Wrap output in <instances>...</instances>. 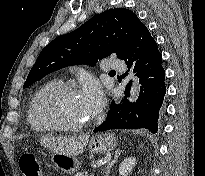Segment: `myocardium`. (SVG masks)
<instances>
[{
	"label": "myocardium",
	"instance_id": "myocardium-1",
	"mask_svg": "<svg viewBox=\"0 0 205 176\" xmlns=\"http://www.w3.org/2000/svg\"><path fill=\"white\" fill-rule=\"evenodd\" d=\"M70 92L76 93L77 88L75 85L67 82H60L54 83L47 89H45L36 99L34 105V117L35 120L42 126H45L49 129L59 130V131H66V132H77L91 124V117H89L86 121L78 125H70V124H63L55 119L48 118L43 113V106L47 100L54 97L57 94Z\"/></svg>",
	"mask_w": 205,
	"mask_h": 176
}]
</instances>
